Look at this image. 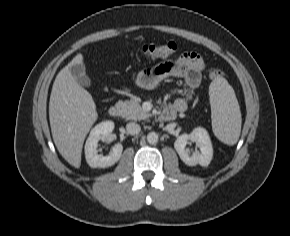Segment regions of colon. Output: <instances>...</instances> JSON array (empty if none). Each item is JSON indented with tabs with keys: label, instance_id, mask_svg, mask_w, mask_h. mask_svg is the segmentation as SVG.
<instances>
[{
	"label": "colon",
	"instance_id": "1",
	"mask_svg": "<svg viewBox=\"0 0 290 236\" xmlns=\"http://www.w3.org/2000/svg\"><path fill=\"white\" fill-rule=\"evenodd\" d=\"M177 46L174 42L164 44H146L141 47L139 53L146 59L167 58L175 53ZM224 72L220 69H212L209 72L211 79H219L224 77Z\"/></svg>",
	"mask_w": 290,
	"mask_h": 236
}]
</instances>
